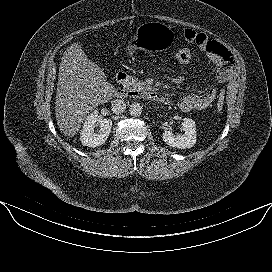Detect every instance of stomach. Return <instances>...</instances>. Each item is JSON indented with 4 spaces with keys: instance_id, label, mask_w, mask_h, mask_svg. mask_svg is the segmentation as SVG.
Instances as JSON below:
<instances>
[{
    "instance_id": "0dacf381",
    "label": "stomach",
    "mask_w": 272,
    "mask_h": 272,
    "mask_svg": "<svg viewBox=\"0 0 272 272\" xmlns=\"http://www.w3.org/2000/svg\"><path fill=\"white\" fill-rule=\"evenodd\" d=\"M173 40L174 34L169 25L160 22H146L137 28L128 48L131 53L137 50L154 52L167 48Z\"/></svg>"
}]
</instances>
